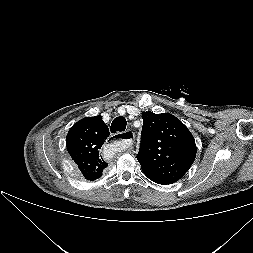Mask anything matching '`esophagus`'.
I'll list each match as a JSON object with an SVG mask.
<instances>
[{"label":"esophagus","mask_w":253,"mask_h":253,"mask_svg":"<svg viewBox=\"0 0 253 253\" xmlns=\"http://www.w3.org/2000/svg\"><path fill=\"white\" fill-rule=\"evenodd\" d=\"M118 135H122L121 136L122 138L119 139L122 140L123 143H125L128 147H130L133 144L135 137L133 131L127 130L126 132L116 134V136Z\"/></svg>","instance_id":"obj_1"}]
</instances>
